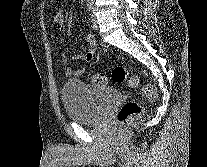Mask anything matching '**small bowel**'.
<instances>
[{
    "label": "small bowel",
    "mask_w": 207,
    "mask_h": 167,
    "mask_svg": "<svg viewBox=\"0 0 207 167\" xmlns=\"http://www.w3.org/2000/svg\"><path fill=\"white\" fill-rule=\"evenodd\" d=\"M53 23L60 29H64L65 25V19L64 15L62 12H57L53 16ZM85 40L87 42V48L84 53L82 54H77V55H72L70 56L65 50L62 51V61L66 65L65 68V75L67 77H80L84 74L85 68L84 67H79V68H73L72 66L69 65L70 62L72 61H83V62H91L96 54V42L93 39L91 35H87L85 37Z\"/></svg>",
    "instance_id": "1"
}]
</instances>
